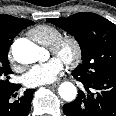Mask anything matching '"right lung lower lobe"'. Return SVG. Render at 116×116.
<instances>
[{
	"label": "right lung lower lobe",
	"instance_id": "obj_1",
	"mask_svg": "<svg viewBox=\"0 0 116 116\" xmlns=\"http://www.w3.org/2000/svg\"><path fill=\"white\" fill-rule=\"evenodd\" d=\"M21 86L15 84L10 90L0 93V116H27L31 109V100L34 89H27L24 94L15 102H11V97Z\"/></svg>",
	"mask_w": 116,
	"mask_h": 116
}]
</instances>
